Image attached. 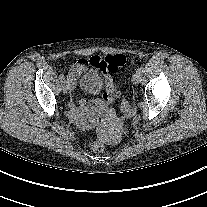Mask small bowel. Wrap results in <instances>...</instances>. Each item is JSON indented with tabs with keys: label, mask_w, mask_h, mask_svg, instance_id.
Wrapping results in <instances>:
<instances>
[{
	"label": "small bowel",
	"mask_w": 207,
	"mask_h": 207,
	"mask_svg": "<svg viewBox=\"0 0 207 207\" xmlns=\"http://www.w3.org/2000/svg\"><path fill=\"white\" fill-rule=\"evenodd\" d=\"M95 57L93 60H99ZM86 64L79 63L76 66L75 73L82 70ZM70 85L73 88V74L70 76ZM117 84L110 75L105 74V89L102 97L93 101L80 99L78 101L71 100L69 103V116L75 120L83 129L94 128L98 123V117L105 114L110 106L119 96Z\"/></svg>",
	"instance_id": "small-bowel-1"
}]
</instances>
